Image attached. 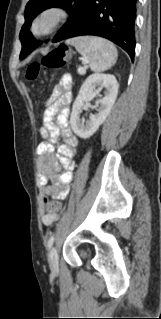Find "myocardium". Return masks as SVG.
I'll return each instance as SVG.
<instances>
[{"instance_id":"f54148a6","label":"myocardium","mask_w":161,"mask_h":319,"mask_svg":"<svg viewBox=\"0 0 161 319\" xmlns=\"http://www.w3.org/2000/svg\"><path fill=\"white\" fill-rule=\"evenodd\" d=\"M67 17V11L59 6L41 10L33 19L30 32L35 38H43L54 31Z\"/></svg>"}]
</instances>
